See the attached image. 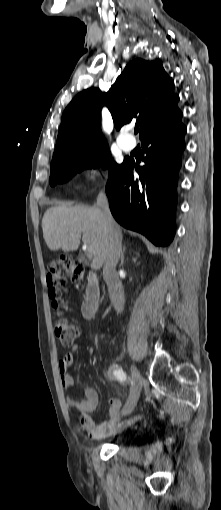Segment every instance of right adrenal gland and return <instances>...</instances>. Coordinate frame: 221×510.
<instances>
[{
  "label": "right adrenal gland",
  "instance_id": "obj_1",
  "mask_svg": "<svg viewBox=\"0 0 221 510\" xmlns=\"http://www.w3.org/2000/svg\"><path fill=\"white\" fill-rule=\"evenodd\" d=\"M125 250H126V247L124 246V247H123V250H122V252H121V264H123V263H124V253H125Z\"/></svg>",
  "mask_w": 221,
  "mask_h": 510
}]
</instances>
